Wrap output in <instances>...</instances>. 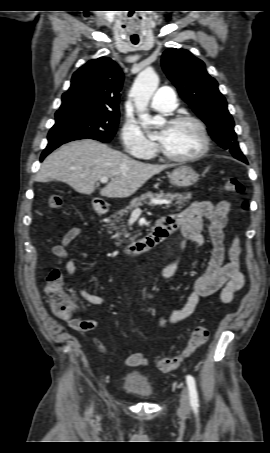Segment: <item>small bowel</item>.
Here are the masks:
<instances>
[{
  "mask_svg": "<svg viewBox=\"0 0 270 453\" xmlns=\"http://www.w3.org/2000/svg\"><path fill=\"white\" fill-rule=\"evenodd\" d=\"M230 203L222 200L216 204L209 201L194 202L183 211L165 216L160 221H165L168 225L179 229L182 233L181 241L176 255L169 264L162 270L161 279H170L174 276L180 255L188 243H194L199 247H205L206 240L202 234L204 223H207L209 240L211 243V254L203 274L195 281L193 292L187 297L184 305L175 310L166 319L161 317L159 324L165 328L169 324L179 323L190 317L201 297L212 295L220 290V299L228 304L233 300L234 295L243 287L245 283L244 274L240 270L241 245L239 238L233 236L228 250H226L225 228L228 223ZM82 233L80 227L70 228L63 236L60 243L56 244L52 253L59 263L65 265L66 272L73 276L76 272V259L69 258V249L72 242ZM226 254L228 261L225 262ZM81 258L85 255L81 254ZM78 296L90 305L99 306L104 304L102 296L92 294L84 288L77 289ZM81 310H84L82 307ZM68 326L80 333L94 330L99 322L92 319H81L74 315L61 317ZM100 350L105 351L101 343L94 339ZM125 364L130 367H141L149 364V359L141 352L130 355L125 360Z\"/></svg>",
  "mask_w": 270,
  "mask_h": 453,
  "instance_id": "small-bowel-1",
  "label": "small bowel"
}]
</instances>
